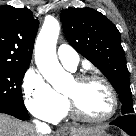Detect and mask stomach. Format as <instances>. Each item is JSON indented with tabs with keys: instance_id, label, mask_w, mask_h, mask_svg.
<instances>
[{
	"instance_id": "stomach-1",
	"label": "stomach",
	"mask_w": 136,
	"mask_h": 136,
	"mask_svg": "<svg viewBox=\"0 0 136 136\" xmlns=\"http://www.w3.org/2000/svg\"><path fill=\"white\" fill-rule=\"evenodd\" d=\"M64 136H68V134L65 133ZM70 136H110V135L106 134L103 130L98 128L94 132H92L91 134H87V135L77 134V135H70Z\"/></svg>"
}]
</instances>
